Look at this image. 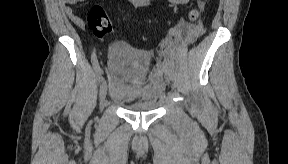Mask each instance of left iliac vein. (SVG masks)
Wrapping results in <instances>:
<instances>
[{
    "mask_svg": "<svg viewBox=\"0 0 288 164\" xmlns=\"http://www.w3.org/2000/svg\"><path fill=\"white\" fill-rule=\"evenodd\" d=\"M167 80L173 81L174 79H173V77L171 75H167Z\"/></svg>",
    "mask_w": 288,
    "mask_h": 164,
    "instance_id": "1",
    "label": "left iliac vein"
}]
</instances>
